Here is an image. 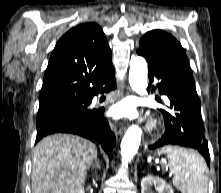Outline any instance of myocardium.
<instances>
[{"mask_svg": "<svg viewBox=\"0 0 221 193\" xmlns=\"http://www.w3.org/2000/svg\"><path fill=\"white\" fill-rule=\"evenodd\" d=\"M157 127L156 122H152L149 126V130H155Z\"/></svg>", "mask_w": 221, "mask_h": 193, "instance_id": "myocardium-1", "label": "myocardium"}]
</instances>
